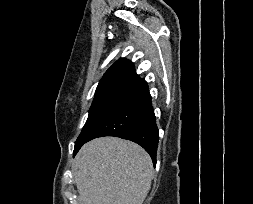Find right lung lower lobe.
<instances>
[{
    "label": "right lung lower lobe",
    "mask_w": 253,
    "mask_h": 204,
    "mask_svg": "<svg viewBox=\"0 0 253 204\" xmlns=\"http://www.w3.org/2000/svg\"><path fill=\"white\" fill-rule=\"evenodd\" d=\"M103 136H115L139 144L156 164L159 135L146 81L143 80L104 120L88 141Z\"/></svg>",
    "instance_id": "98d812e1"
}]
</instances>
